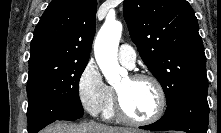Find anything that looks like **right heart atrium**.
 Returning a JSON list of instances; mask_svg holds the SVG:
<instances>
[{"mask_svg":"<svg viewBox=\"0 0 221 133\" xmlns=\"http://www.w3.org/2000/svg\"><path fill=\"white\" fill-rule=\"evenodd\" d=\"M77 95L83 109L91 115H100L107 109L112 92L95 62L89 61L82 69L77 82Z\"/></svg>","mask_w":221,"mask_h":133,"instance_id":"obj_1","label":"right heart atrium"}]
</instances>
